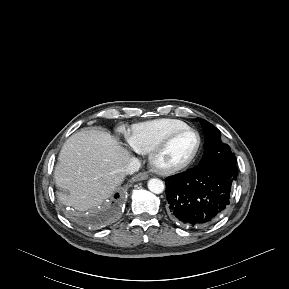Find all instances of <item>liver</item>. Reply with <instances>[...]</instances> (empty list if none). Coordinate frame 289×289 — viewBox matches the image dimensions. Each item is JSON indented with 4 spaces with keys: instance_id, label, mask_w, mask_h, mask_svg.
<instances>
[{
    "instance_id": "1",
    "label": "liver",
    "mask_w": 289,
    "mask_h": 289,
    "mask_svg": "<svg viewBox=\"0 0 289 289\" xmlns=\"http://www.w3.org/2000/svg\"><path fill=\"white\" fill-rule=\"evenodd\" d=\"M129 152L109 133L82 130L64 143L55 167L56 185L67 193L60 201L77 210L98 206L124 180Z\"/></svg>"
}]
</instances>
